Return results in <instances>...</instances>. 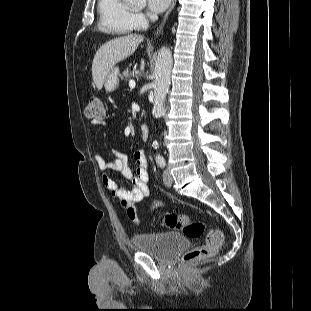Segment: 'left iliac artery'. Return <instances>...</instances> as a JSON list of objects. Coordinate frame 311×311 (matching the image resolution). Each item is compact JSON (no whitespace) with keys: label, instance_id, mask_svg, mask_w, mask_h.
Returning <instances> with one entry per match:
<instances>
[{"label":"left iliac artery","instance_id":"left-iliac-artery-1","mask_svg":"<svg viewBox=\"0 0 311 311\" xmlns=\"http://www.w3.org/2000/svg\"><path fill=\"white\" fill-rule=\"evenodd\" d=\"M156 162L157 164L161 167L164 168L165 167V159L163 157H157L156 158Z\"/></svg>","mask_w":311,"mask_h":311}]
</instances>
